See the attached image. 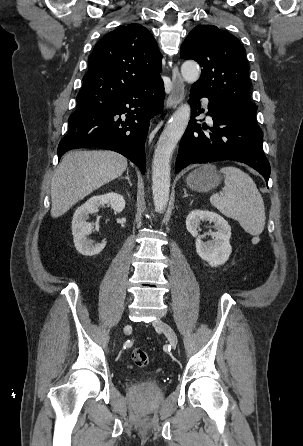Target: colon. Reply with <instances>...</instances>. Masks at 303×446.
I'll use <instances>...</instances> for the list:
<instances>
[{"label": "colon", "instance_id": "5ec220e1", "mask_svg": "<svg viewBox=\"0 0 303 446\" xmlns=\"http://www.w3.org/2000/svg\"><path fill=\"white\" fill-rule=\"evenodd\" d=\"M132 360H133L134 364L139 368H144V367L148 366V364L150 362V358H149V355L147 354V352H145L144 350H141V349H135L132 352Z\"/></svg>", "mask_w": 303, "mask_h": 446}]
</instances>
